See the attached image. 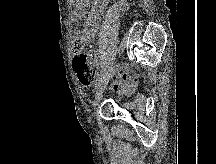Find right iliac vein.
<instances>
[{
  "instance_id": "1",
  "label": "right iliac vein",
  "mask_w": 216,
  "mask_h": 164,
  "mask_svg": "<svg viewBox=\"0 0 216 164\" xmlns=\"http://www.w3.org/2000/svg\"><path fill=\"white\" fill-rule=\"evenodd\" d=\"M120 68L118 66H116V70L113 71V69L109 70V72L106 73V76L104 77V81H101L100 82V85L98 87V90L95 94V98L93 100V106L96 107L98 105V103L100 102L101 100V97H102V93L104 92V90L106 89L107 87V84L110 80V78L113 76V74L115 72H117Z\"/></svg>"
}]
</instances>
